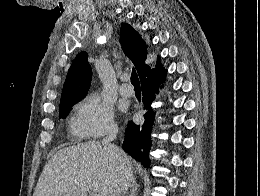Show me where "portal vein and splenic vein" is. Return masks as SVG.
Returning a JSON list of instances; mask_svg holds the SVG:
<instances>
[{"label": "portal vein and splenic vein", "mask_w": 260, "mask_h": 196, "mask_svg": "<svg viewBox=\"0 0 260 196\" xmlns=\"http://www.w3.org/2000/svg\"><path fill=\"white\" fill-rule=\"evenodd\" d=\"M90 196H100V194H98V192H89Z\"/></svg>", "instance_id": "portal-vein-and-splenic-vein-1"}]
</instances>
